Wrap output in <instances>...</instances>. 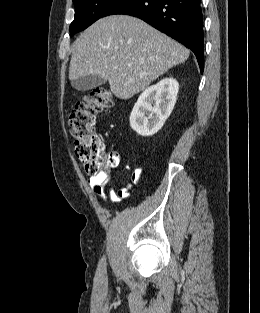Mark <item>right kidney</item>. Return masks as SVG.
I'll return each instance as SVG.
<instances>
[{"mask_svg":"<svg viewBox=\"0 0 260 313\" xmlns=\"http://www.w3.org/2000/svg\"><path fill=\"white\" fill-rule=\"evenodd\" d=\"M178 90L179 84L174 78H164L148 87L132 109L131 128L144 137L157 133L174 108Z\"/></svg>","mask_w":260,"mask_h":313,"instance_id":"obj_1","label":"right kidney"}]
</instances>
